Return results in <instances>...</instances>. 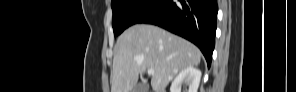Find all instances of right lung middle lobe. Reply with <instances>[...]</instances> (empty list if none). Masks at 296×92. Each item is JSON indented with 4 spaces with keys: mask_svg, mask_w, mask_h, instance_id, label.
<instances>
[{
    "mask_svg": "<svg viewBox=\"0 0 296 92\" xmlns=\"http://www.w3.org/2000/svg\"><path fill=\"white\" fill-rule=\"evenodd\" d=\"M160 0H112L114 35L121 34L151 11Z\"/></svg>",
    "mask_w": 296,
    "mask_h": 92,
    "instance_id": "right-lung-middle-lobe-1",
    "label": "right lung middle lobe"
}]
</instances>
